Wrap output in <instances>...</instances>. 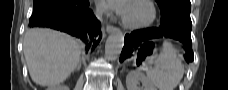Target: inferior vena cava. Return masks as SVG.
<instances>
[{
    "instance_id": "inferior-vena-cava-1",
    "label": "inferior vena cava",
    "mask_w": 228,
    "mask_h": 90,
    "mask_svg": "<svg viewBox=\"0 0 228 90\" xmlns=\"http://www.w3.org/2000/svg\"><path fill=\"white\" fill-rule=\"evenodd\" d=\"M102 15H103L102 9L97 8V10H96V16H97V18H98L100 21H102Z\"/></svg>"
}]
</instances>
